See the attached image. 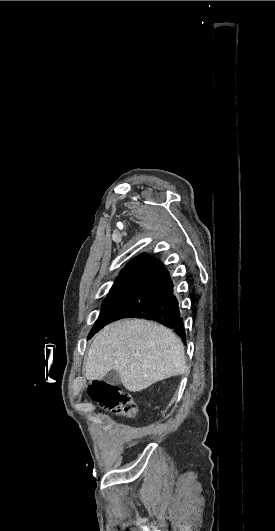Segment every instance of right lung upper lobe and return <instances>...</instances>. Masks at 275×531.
Returning a JSON list of instances; mask_svg holds the SVG:
<instances>
[{
  "mask_svg": "<svg viewBox=\"0 0 275 531\" xmlns=\"http://www.w3.org/2000/svg\"><path fill=\"white\" fill-rule=\"evenodd\" d=\"M154 261H155V259H153L152 257H150V256H148L146 254H141L138 257H136L135 259H133L131 262H129L127 264V266L124 269H122V271L120 273L128 272V271H136V270L144 271Z\"/></svg>",
  "mask_w": 275,
  "mask_h": 531,
  "instance_id": "obj_1",
  "label": "right lung upper lobe"
}]
</instances>
